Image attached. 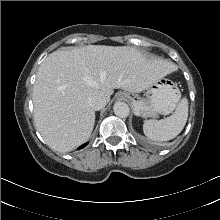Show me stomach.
<instances>
[{
  "label": "stomach",
  "instance_id": "obj_1",
  "mask_svg": "<svg viewBox=\"0 0 220 220\" xmlns=\"http://www.w3.org/2000/svg\"><path fill=\"white\" fill-rule=\"evenodd\" d=\"M133 104L135 114L143 118L168 115L174 111L180 99L176 84L166 78L155 81L146 92L147 101L126 94Z\"/></svg>",
  "mask_w": 220,
  "mask_h": 220
}]
</instances>
